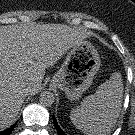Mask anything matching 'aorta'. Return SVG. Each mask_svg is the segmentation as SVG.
Segmentation results:
<instances>
[{
  "label": "aorta",
  "instance_id": "obj_1",
  "mask_svg": "<svg viewBox=\"0 0 135 135\" xmlns=\"http://www.w3.org/2000/svg\"><path fill=\"white\" fill-rule=\"evenodd\" d=\"M39 101L43 106H51L55 102L54 94L50 91H44L40 94Z\"/></svg>",
  "mask_w": 135,
  "mask_h": 135
}]
</instances>
